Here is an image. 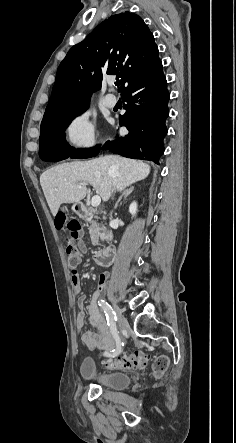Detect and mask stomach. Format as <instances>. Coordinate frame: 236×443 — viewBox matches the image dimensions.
Here are the masks:
<instances>
[{"mask_svg": "<svg viewBox=\"0 0 236 443\" xmlns=\"http://www.w3.org/2000/svg\"><path fill=\"white\" fill-rule=\"evenodd\" d=\"M72 210H73L74 212H78V211H79V206H78V204H74V205L72 206Z\"/></svg>", "mask_w": 236, "mask_h": 443, "instance_id": "stomach-1", "label": "stomach"}]
</instances>
